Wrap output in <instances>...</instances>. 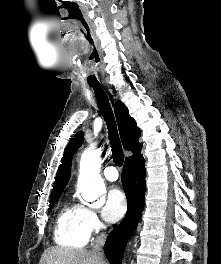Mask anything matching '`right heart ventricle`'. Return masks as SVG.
<instances>
[{
	"mask_svg": "<svg viewBox=\"0 0 221 264\" xmlns=\"http://www.w3.org/2000/svg\"><path fill=\"white\" fill-rule=\"evenodd\" d=\"M86 208L66 202L60 209L54 227L55 242L64 247H84L90 237L85 221Z\"/></svg>",
	"mask_w": 221,
	"mask_h": 264,
	"instance_id": "right-heart-ventricle-1",
	"label": "right heart ventricle"
}]
</instances>
